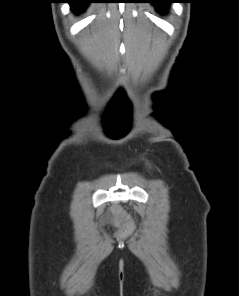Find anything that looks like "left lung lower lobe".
I'll list each match as a JSON object with an SVG mask.
<instances>
[{
    "instance_id": "left-lung-lower-lobe-1",
    "label": "left lung lower lobe",
    "mask_w": 239,
    "mask_h": 296,
    "mask_svg": "<svg viewBox=\"0 0 239 296\" xmlns=\"http://www.w3.org/2000/svg\"><path fill=\"white\" fill-rule=\"evenodd\" d=\"M149 3L155 5L156 9L160 12H164L167 10L168 5L170 3L177 2L176 0H148Z\"/></svg>"
}]
</instances>
